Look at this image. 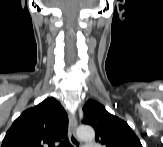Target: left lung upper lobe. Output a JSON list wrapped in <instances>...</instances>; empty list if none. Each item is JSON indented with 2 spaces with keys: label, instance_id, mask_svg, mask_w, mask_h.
I'll use <instances>...</instances> for the list:
<instances>
[{
  "label": "left lung upper lobe",
  "instance_id": "left-lung-upper-lobe-1",
  "mask_svg": "<svg viewBox=\"0 0 163 147\" xmlns=\"http://www.w3.org/2000/svg\"><path fill=\"white\" fill-rule=\"evenodd\" d=\"M83 111V123L95 129L96 141L104 147H142L140 140L129 125L110 114L97 101L88 100Z\"/></svg>",
  "mask_w": 163,
  "mask_h": 147
}]
</instances>
